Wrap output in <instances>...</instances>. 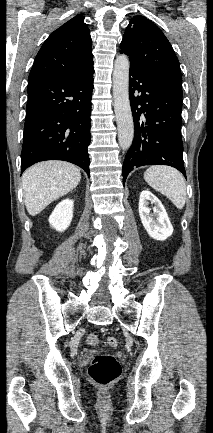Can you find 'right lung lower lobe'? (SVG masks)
<instances>
[{
    "instance_id": "right-lung-lower-lobe-1",
    "label": "right lung lower lobe",
    "mask_w": 213,
    "mask_h": 433,
    "mask_svg": "<svg viewBox=\"0 0 213 433\" xmlns=\"http://www.w3.org/2000/svg\"><path fill=\"white\" fill-rule=\"evenodd\" d=\"M93 65L63 79H33L21 152V172L44 160H64L89 172Z\"/></svg>"
}]
</instances>
